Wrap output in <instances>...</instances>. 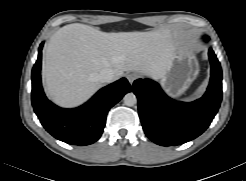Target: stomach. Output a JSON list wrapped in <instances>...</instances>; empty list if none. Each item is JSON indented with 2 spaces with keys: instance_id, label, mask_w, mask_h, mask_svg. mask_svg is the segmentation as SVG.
Listing matches in <instances>:
<instances>
[{
  "instance_id": "stomach-1",
  "label": "stomach",
  "mask_w": 246,
  "mask_h": 181,
  "mask_svg": "<svg viewBox=\"0 0 246 181\" xmlns=\"http://www.w3.org/2000/svg\"><path fill=\"white\" fill-rule=\"evenodd\" d=\"M199 72V64L193 50L188 46L173 45L163 73L158 77L170 96L180 97Z\"/></svg>"
}]
</instances>
